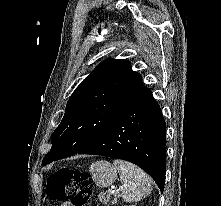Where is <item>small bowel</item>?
I'll return each instance as SVG.
<instances>
[{
    "mask_svg": "<svg viewBox=\"0 0 221 206\" xmlns=\"http://www.w3.org/2000/svg\"><path fill=\"white\" fill-rule=\"evenodd\" d=\"M60 206H72V205L69 204V203H63V204H61Z\"/></svg>",
    "mask_w": 221,
    "mask_h": 206,
    "instance_id": "obj_1",
    "label": "small bowel"
}]
</instances>
